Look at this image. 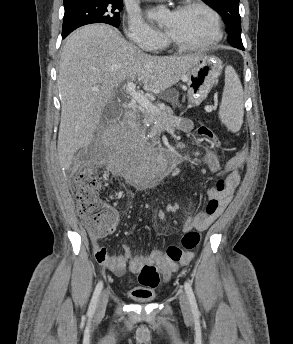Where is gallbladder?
Here are the masks:
<instances>
[{"mask_svg": "<svg viewBox=\"0 0 293 344\" xmlns=\"http://www.w3.org/2000/svg\"><path fill=\"white\" fill-rule=\"evenodd\" d=\"M118 107V103L115 101L110 102L103 110L104 117H112L113 110Z\"/></svg>", "mask_w": 293, "mask_h": 344, "instance_id": "1", "label": "gallbladder"}]
</instances>
